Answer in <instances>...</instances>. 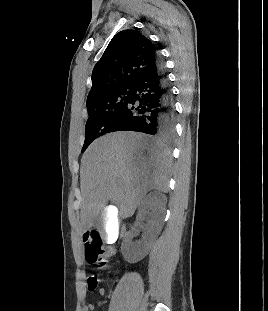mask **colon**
<instances>
[{
  "label": "colon",
  "mask_w": 268,
  "mask_h": 311,
  "mask_svg": "<svg viewBox=\"0 0 268 311\" xmlns=\"http://www.w3.org/2000/svg\"><path fill=\"white\" fill-rule=\"evenodd\" d=\"M85 258L90 264L98 267H105L110 259L114 257L116 251L111 246H106L102 235L95 229H90L84 233ZM88 289L94 291L99 285V279L91 275L87 279Z\"/></svg>",
  "instance_id": "obj_1"
}]
</instances>
